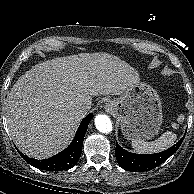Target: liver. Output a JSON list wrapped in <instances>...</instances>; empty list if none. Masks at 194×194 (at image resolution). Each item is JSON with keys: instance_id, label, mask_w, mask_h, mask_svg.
I'll return each instance as SVG.
<instances>
[{"instance_id": "6515ba94", "label": "liver", "mask_w": 194, "mask_h": 194, "mask_svg": "<svg viewBox=\"0 0 194 194\" xmlns=\"http://www.w3.org/2000/svg\"><path fill=\"white\" fill-rule=\"evenodd\" d=\"M139 82L138 72L117 56L80 53L35 65L8 94L9 133L24 154L44 159L67 146L92 96L121 95Z\"/></svg>"}]
</instances>
